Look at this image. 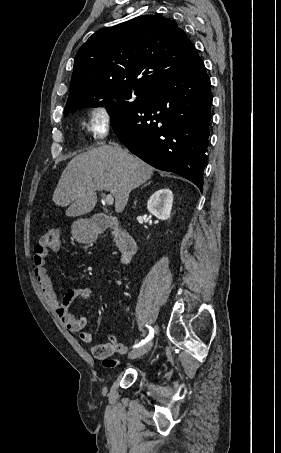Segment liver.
Returning a JSON list of instances; mask_svg holds the SVG:
<instances>
[{"label": "liver", "instance_id": "liver-1", "mask_svg": "<svg viewBox=\"0 0 281 453\" xmlns=\"http://www.w3.org/2000/svg\"><path fill=\"white\" fill-rule=\"evenodd\" d=\"M155 168L121 148L117 142L80 152L65 166L53 192L58 206H68L67 216L91 212L97 202L96 190H109L116 212L124 210L133 188L152 178Z\"/></svg>", "mask_w": 281, "mask_h": 453}]
</instances>
